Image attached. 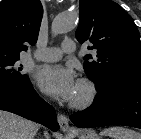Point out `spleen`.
Listing matches in <instances>:
<instances>
[{
    "mask_svg": "<svg viewBox=\"0 0 141 139\" xmlns=\"http://www.w3.org/2000/svg\"><path fill=\"white\" fill-rule=\"evenodd\" d=\"M101 136H109L112 139H141V134L124 127H111L104 129Z\"/></svg>",
    "mask_w": 141,
    "mask_h": 139,
    "instance_id": "1",
    "label": "spleen"
}]
</instances>
